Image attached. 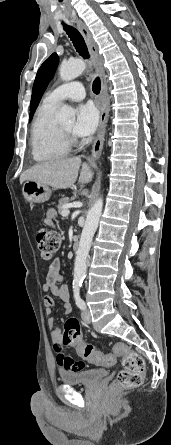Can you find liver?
Instances as JSON below:
<instances>
[{"instance_id":"1","label":"liver","mask_w":171,"mask_h":445,"mask_svg":"<svg viewBox=\"0 0 171 445\" xmlns=\"http://www.w3.org/2000/svg\"><path fill=\"white\" fill-rule=\"evenodd\" d=\"M80 166L81 159L79 157L43 162L23 172L20 176V183L30 180L56 189H67L76 182ZM92 177L93 173L89 166L83 163L79 182L88 183Z\"/></svg>"}]
</instances>
